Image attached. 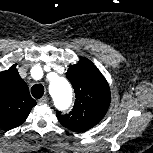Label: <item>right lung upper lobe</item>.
<instances>
[{
    "label": "right lung upper lobe",
    "instance_id": "obj_1",
    "mask_svg": "<svg viewBox=\"0 0 153 153\" xmlns=\"http://www.w3.org/2000/svg\"><path fill=\"white\" fill-rule=\"evenodd\" d=\"M36 101L15 66L0 73V127L10 130L21 125Z\"/></svg>",
    "mask_w": 153,
    "mask_h": 153
}]
</instances>
